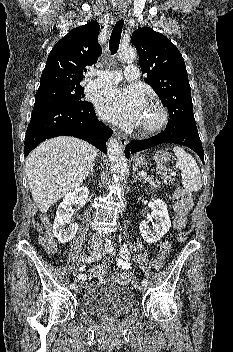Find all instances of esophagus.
<instances>
[{
  "mask_svg": "<svg viewBox=\"0 0 233 352\" xmlns=\"http://www.w3.org/2000/svg\"><path fill=\"white\" fill-rule=\"evenodd\" d=\"M119 12L121 15L125 14V9H119ZM116 136L118 138L119 144L121 147H124L128 143V139L126 136L116 133Z\"/></svg>",
  "mask_w": 233,
  "mask_h": 352,
  "instance_id": "esophagus-1",
  "label": "esophagus"
}]
</instances>
